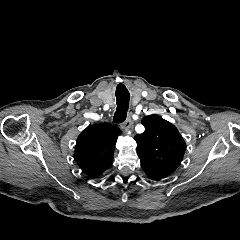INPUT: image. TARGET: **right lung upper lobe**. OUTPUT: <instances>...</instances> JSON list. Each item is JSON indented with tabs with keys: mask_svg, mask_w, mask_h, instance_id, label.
Segmentation results:
<instances>
[{
	"mask_svg": "<svg viewBox=\"0 0 240 240\" xmlns=\"http://www.w3.org/2000/svg\"><path fill=\"white\" fill-rule=\"evenodd\" d=\"M121 130L103 123L88 126L77 138L74 158L92 178L101 176L113 161V152Z\"/></svg>",
	"mask_w": 240,
	"mask_h": 240,
	"instance_id": "1",
	"label": "right lung upper lobe"
}]
</instances>
